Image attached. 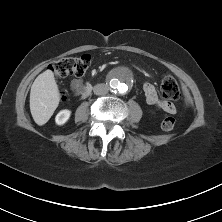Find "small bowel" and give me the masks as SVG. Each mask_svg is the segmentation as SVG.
Here are the masks:
<instances>
[{
    "label": "small bowel",
    "instance_id": "1",
    "mask_svg": "<svg viewBox=\"0 0 222 222\" xmlns=\"http://www.w3.org/2000/svg\"><path fill=\"white\" fill-rule=\"evenodd\" d=\"M82 86L83 80L81 78H74L70 84L71 90L75 94L81 91ZM143 91L148 104L154 105L158 109L163 110L169 114L176 113L177 110L175 105L169 101L161 100L153 84L148 82L145 83L143 86Z\"/></svg>",
    "mask_w": 222,
    "mask_h": 222
}]
</instances>
